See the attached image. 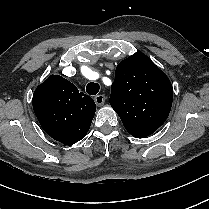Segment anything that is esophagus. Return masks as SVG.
Wrapping results in <instances>:
<instances>
[{"label": "esophagus", "instance_id": "1", "mask_svg": "<svg viewBox=\"0 0 209 209\" xmlns=\"http://www.w3.org/2000/svg\"><path fill=\"white\" fill-rule=\"evenodd\" d=\"M94 100L97 106H102L105 103L106 97L103 94H100L96 95Z\"/></svg>", "mask_w": 209, "mask_h": 209}]
</instances>
